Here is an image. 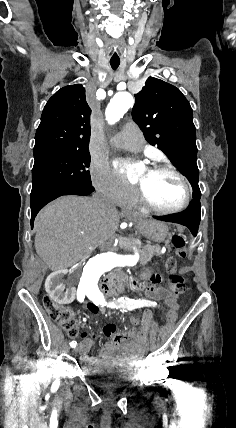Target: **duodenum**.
I'll return each instance as SVG.
<instances>
[{
  "label": "duodenum",
  "mask_w": 236,
  "mask_h": 428,
  "mask_svg": "<svg viewBox=\"0 0 236 428\" xmlns=\"http://www.w3.org/2000/svg\"><path fill=\"white\" fill-rule=\"evenodd\" d=\"M132 282L133 278L130 276L122 278L107 277L100 284V293L104 299H116L123 293L127 285Z\"/></svg>",
  "instance_id": "duodenum-1"
}]
</instances>
